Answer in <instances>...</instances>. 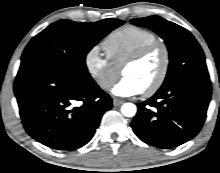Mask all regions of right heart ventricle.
<instances>
[{"label":"right heart ventricle","mask_w":220,"mask_h":173,"mask_svg":"<svg viewBox=\"0 0 220 173\" xmlns=\"http://www.w3.org/2000/svg\"><path fill=\"white\" fill-rule=\"evenodd\" d=\"M157 40V35L150 30L126 25L113 31L102 46L108 59L120 69L137 50Z\"/></svg>","instance_id":"e07e8e85"}]
</instances>
